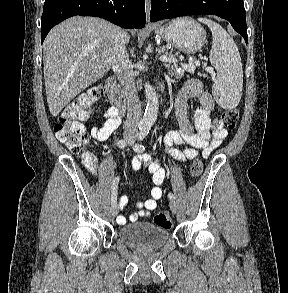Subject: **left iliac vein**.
<instances>
[{"mask_svg":"<svg viewBox=\"0 0 288 293\" xmlns=\"http://www.w3.org/2000/svg\"><path fill=\"white\" fill-rule=\"evenodd\" d=\"M169 206L173 213H176L178 211V205L174 200L170 201Z\"/></svg>","mask_w":288,"mask_h":293,"instance_id":"4c4485c4","label":"left iliac vein"}]
</instances>
